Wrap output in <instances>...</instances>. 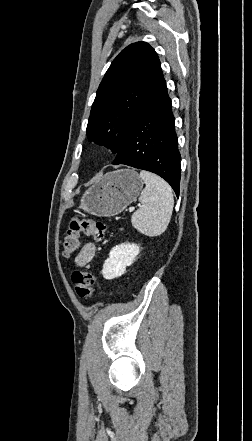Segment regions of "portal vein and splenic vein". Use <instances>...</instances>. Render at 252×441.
<instances>
[{
    "label": "portal vein and splenic vein",
    "mask_w": 252,
    "mask_h": 441,
    "mask_svg": "<svg viewBox=\"0 0 252 441\" xmlns=\"http://www.w3.org/2000/svg\"><path fill=\"white\" fill-rule=\"evenodd\" d=\"M134 207L129 208V212H133L134 211Z\"/></svg>",
    "instance_id": "obj_1"
}]
</instances>
